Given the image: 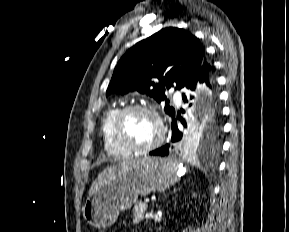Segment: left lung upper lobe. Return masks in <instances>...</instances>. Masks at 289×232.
<instances>
[{
	"label": "left lung upper lobe",
	"mask_w": 289,
	"mask_h": 232,
	"mask_svg": "<svg viewBox=\"0 0 289 232\" xmlns=\"http://www.w3.org/2000/svg\"><path fill=\"white\" fill-rule=\"evenodd\" d=\"M199 40L184 29L168 27L131 47L117 63L106 96L138 91L157 102L166 100L165 90L184 88L205 59ZM168 104V100H166ZM165 112L174 116V108L166 105ZM204 117L182 138L186 150L217 152L222 125L219 114Z\"/></svg>",
	"instance_id": "5c2ea615"
}]
</instances>
